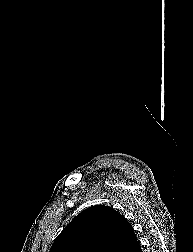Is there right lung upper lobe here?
<instances>
[{"label": "right lung upper lobe", "instance_id": "cb5924a9", "mask_svg": "<svg viewBox=\"0 0 193 252\" xmlns=\"http://www.w3.org/2000/svg\"><path fill=\"white\" fill-rule=\"evenodd\" d=\"M138 245L133 228L120 213L95 205L62 230L49 252H134Z\"/></svg>", "mask_w": 193, "mask_h": 252}]
</instances>
